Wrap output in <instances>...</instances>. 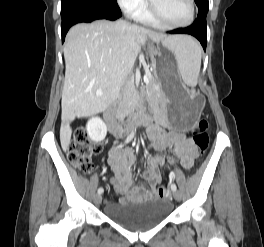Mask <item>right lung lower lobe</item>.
<instances>
[{
  "label": "right lung lower lobe",
  "mask_w": 264,
  "mask_h": 247,
  "mask_svg": "<svg viewBox=\"0 0 264 247\" xmlns=\"http://www.w3.org/2000/svg\"><path fill=\"white\" fill-rule=\"evenodd\" d=\"M121 11L115 1L102 0H62L61 2V34L65 40L69 28L77 23L92 22L97 19L116 20Z\"/></svg>",
  "instance_id": "1"
}]
</instances>
